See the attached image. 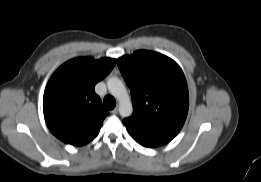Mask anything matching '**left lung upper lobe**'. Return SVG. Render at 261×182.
<instances>
[{"label": "left lung upper lobe", "mask_w": 261, "mask_h": 182, "mask_svg": "<svg viewBox=\"0 0 261 182\" xmlns=\"http://www.w3.org/2000/svg\"><path fill=\"white\" fill-rule=\"evenodd\" d=\"M131 90L133 114L123 120L128 133L144 144L160 146L181 130L189 94L179 65L157 52L139 50L118 59Z\"/></svg>", "instance_id": "obj_1"}]
</instances>
